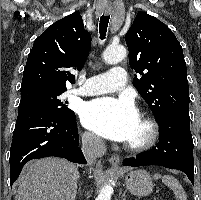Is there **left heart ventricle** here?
Segmentation results:
<instances>
[{"label":"left heart ventricle","instance_id":"1","mask_svg":"<svg viewBox=\"0 0 201 200\" xmlns=\"http://www.w3.org/2000/svg\"><path fill=\"white\" fill-rule=\"evenodd\" d=\"M147 136V127L141 118H138L133 134L127 143H138L143 141Z\"/></svg>","mask_w":201,"mask_h":200}]
</instances>
